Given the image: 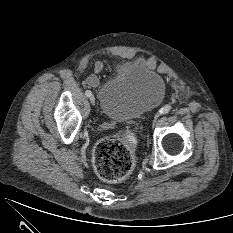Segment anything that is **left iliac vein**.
Returning <instances> with one entry per match:
<instances>
[{
  "mask_svg": "<svg viewBox=\"0 0 233 233\" xmlns=\"http://www.w3.org/2000/svg\"><path fill=\"white\" fill-rule=\"evenodd\" d=\"M158 118H159V113H157L154 117V120H153V126L156 125L157 121H158Z\"/></svg>",
  "mask_w": 233,
  "mask_h": 233,
  "instance_id": "obj_1",
  "label": "left iliac vein"
}]
</instances>
